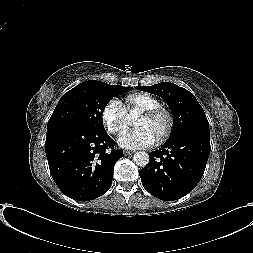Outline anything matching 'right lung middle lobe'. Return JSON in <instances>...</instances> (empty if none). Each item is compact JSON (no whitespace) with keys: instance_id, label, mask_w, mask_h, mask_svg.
Returning <instances> with one entry per match:
<instances>
[{"instance_id":"obj_1","label":"right lung middle lobe","mask_w":253,"mask_h":253,"mask_svg":"<svg viewBox=\"0 0 253 253\" xmlns=\"http://www.w3.org/2000/svg\"><path fill=\"white\" fill-rule=\"evenodd\" d=\"M132 89L96 80L83 82L61 97L48 121L47 130L72 125L104 131L102 114L106 105L114 96Z\"/></svg>"}]
</instances>
